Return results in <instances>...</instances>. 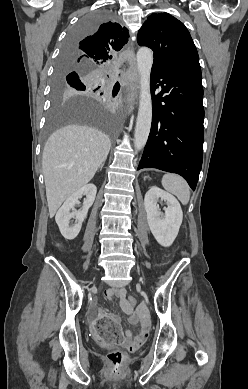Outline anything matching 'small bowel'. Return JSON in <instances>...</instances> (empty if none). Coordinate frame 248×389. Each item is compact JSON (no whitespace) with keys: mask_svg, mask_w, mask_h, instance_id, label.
I'll return each mask as SVG.
<instances>
[{"mask_svg":"<svg viewBox=\"0 0 248 389\" xmlns=\"http://www.w3.org/2000/svg\"><path fill=\"white\" fill-rule=\"evenodd\" d=\"M105 297L111 299L117 297L120 300L121 308L124 312L129 314V322L134 325H139V332L136 336L130 330L125 332L123 340H120L119 343L124 347L134 350L141 346V344L146 340L149 335V324L145 316V312L142 308L137 309L135 312L132 311V308H128L126 291L124 288H111L105 292ZM112 320L115 322L119 321V317L115 314L109 315Z\"/></svg>","mask_w":248,"mask_h":389,"instance_id":"small-bowel-1","label":"small bowel"}]
</instances>
